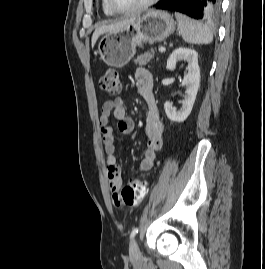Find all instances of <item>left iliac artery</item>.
Listing matches in <instances>:
<instances>
[{
  "label": "left iliac artery",
  "mask_w": 265,
  "mask_h": 269,
  "mask_svg": "<svg viewBox=\"0 0 265 269\" xmlns=\"http://www.w3.org/2000/svg\"><path fill=\"white\" fill-rule=\"evenodd\" d=\"M137 233H138V228L135 227V228L132 230L131 234H130V238H131V239L134 238V237L136 236Z\"/></svg>",
  "instance_id": "1"
}]
</instances>
